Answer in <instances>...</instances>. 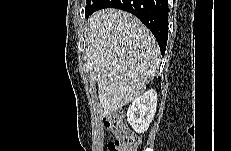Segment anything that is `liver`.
Returning <instances> with one entry per match:
<instances>
[{"mask_svg":"<svg viewBox=\"0 0 231 151\" xmlns=\"http://www.w3.org/2000/svg\"><path fill=\"white\" fill-rule=\"evenodd\" d=\"M86 55L97 75L100 113L109 116L144 93L159 69L156 39L132 14L107 8L85 28Z\"/></svg>","mask_w":231,"mask_h":151,"instance_id":"6515ba94","label":"liver"}]
</instances>
